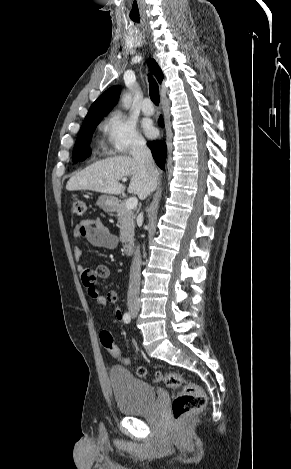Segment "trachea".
<instances>
[{
    "mask_svg": "<svg viewBox=\"0 0 291 469\" xmlns=\"http://www.w3.org/2000/svg\"><path fill=\"white\" fill-rule=\"evenodd\" d=\"M148 80H149V88H150L149 90L150 98L155 105H159L160 97H159L158 84L156 83V81L154 80L152 76H149Z\"/></svg>",
    "mask_w": 291,
    "mask_h": 469,
    "instance_id": "obj_1",
    "label": "trachea"
}]
</instances>
